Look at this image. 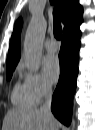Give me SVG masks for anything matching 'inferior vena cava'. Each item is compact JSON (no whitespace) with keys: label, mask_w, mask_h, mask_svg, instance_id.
<instances>
[{"label":"inferior vena cava","mask_w":95,"mask_h":130,"mask_svg":"<svg viewBox=\"0 0 95 130\" xmlns=\"http://www.w3.org/2000/svg\"><path fill=\"white\" fill-rule=\"evenodd\" d=\"M51 102H52V88L51 86H47L46 101L40 107V111L43 112L48 117H53L52 112H51Z\"/></svg>","instance_id":"602c4592"}]
</instances>
